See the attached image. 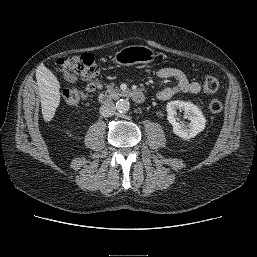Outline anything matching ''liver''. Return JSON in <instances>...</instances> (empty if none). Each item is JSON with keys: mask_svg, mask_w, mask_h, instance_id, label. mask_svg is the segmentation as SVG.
I'll return each instance as SVG.
<instances>
[{"mask_svg": "<svg viewBox=\"0 0 257 257\" xmlns=\"http://www.w3.org/2000/svg\"><path fill=\"white\" fill-rule=\"evenodd\" d=\"M36 79L40 91L42 115L44 120L49 122L60 103V83L53 72L42 65L36 71Z\"/></svg>", "mask_w": 257, "mask_h": 257, "instance_id": "liver-1", "label": "liver"}]
</instances>
